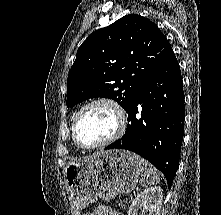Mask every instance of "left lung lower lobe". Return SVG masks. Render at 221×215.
Segmentation results:
<instances>
[{"instance_id": "1", "label": "left lung lower lobe", "mask_w": 221, "mask_h": 215, "mask_svg": "<svg viewBox=\"0 0 221 215\" xmlns=\"http://www.w3.org/2000/svg\"><path fill=\"white\" fill-rule=\"evenodd\" d=\"M127 113L124 136L105 149L139 154L163 172L171 187L179 164L184 117L181 71L172 48L162 65L141 85Z\"/></svg>"}]
</instances>
